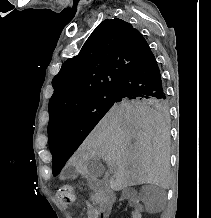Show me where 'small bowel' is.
Masks as SVG:
<instances>
[{"label":"small bowel","mask_w":211,"mask_h":218,"mask_svg":"<svg viewBox=\"0 0 211 218\" xmlns=\"http://www.w3.org/2000/svg\"><path fill=\"white\" fill-rule=\"evenodd\" d=\"M134 215L136 217H139L140 213H135ZM98 216H99V211L97 208L90 207L86 212V218H98Z\"/></svg>","instance_id":"1"}]
</instances>
